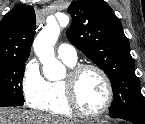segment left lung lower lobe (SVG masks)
I'll use <instances>...</instances> for the list:
<instances>
[{
    "label": "left lung lower lobe",
    "mask_w": 145,
    "mask_h": 124,
    "mask_svg": "<svg viewBox=\"0 0 145 124\" xmlns=\"http://www.w3.org/2000/svg\"><path fill=\"white\" fill-rule=\"evenodd\" d=\"M116 118L127 120L133 124H145V120H141V119H136V118H131V117H116Z\"/></svg>",
    "instance_id": "left-lung-lower-lobe-1"
}]
</instances>
